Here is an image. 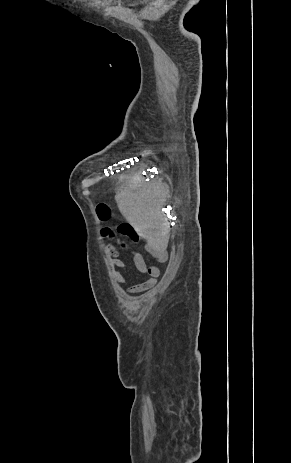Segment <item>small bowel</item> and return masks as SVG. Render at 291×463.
<instances>
[{
  "label": "small bowel",
  "instance_id": "obj_1",
  "mask_svg": "<svg viewBox=\"0 0 291 463\" xmlns=\"http://www.w3.org/2000/svg\"><path fill=\"white\" fill-rule=\"evenodd\" d=\"M140 239V237H139ZM121 248L127 249L130 251L133 259V263L136 269L142 274H148L149 277L142 283L131 284L127 287L128 293H140L146 290L153 288L157 282L158 277L160 276V271L157 267L151 266L148 267L143 255L132 248L128 247L124 242L121 243ZM106 250L110 254V263L114 267L113 276L116 281L119 283H128L129 281L124 277V275L119 271L126 268L125 263L121 259L120 251L114 245H107ZM149 251L155 256L158 260H163L165 258V253L160 249L150 248Z\"/></svg>",
  "mask_w": 291,
  "mask_h": 463
}]
</instances>
